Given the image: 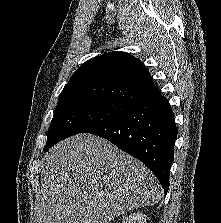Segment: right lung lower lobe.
<instances>
[{
  "mask_svg": "<svg viewBox=\"0 0 221 223\" xmlns=\"http://www.w3.org/2000/svg\"><path fill=\"white\" fill-rule=\"evenodd\" d=\"M142 161L155 174L165 194L174 157L177 128L168 100L158 96L115 119L87 130Z\"/></svg>",
  "mask_w": 221,
  "mask_h": 223,
  "instance_id": "obj_1",
  "label": "right lung lower lobe"
}]
</instances>
